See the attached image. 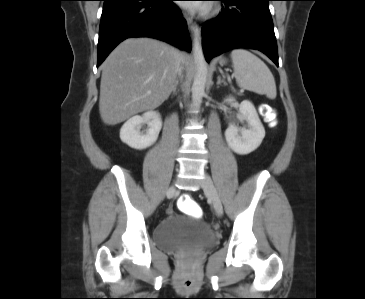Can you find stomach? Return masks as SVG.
Masks as SVG:
<instances>
[{
	"label": "stomach",
	"mask_w": 365,
	"mask_h": 299,
	"mask_svg": "<svg viewBox=\"0 0 365 299\" xmlns=\"http://www.w3.org/2000/svg\"><path fill=\"white\" fill-rule=\"evenodd\" d=\"M220 63L223 64V63H225V61L224 60H221Z\"/></svg>",
	"instance_id": "obj_1"
}]
</instances>
